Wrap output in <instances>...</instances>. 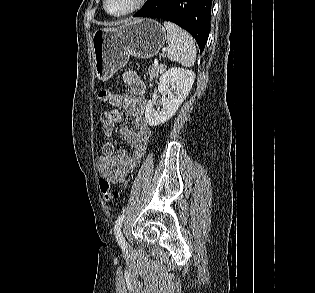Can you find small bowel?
Listing matches in <instances>:
<instances>
[{"label": "small bowel", "instance_id": "1", "mask_svg": "<svg viewBox=\"0 0 315 293\" xmlns=\"http://www.w3.org/2000/svg\"><path fill=\"white\" fill-rule=\"evenodd\" d=\"M122 81L127 86L128 93L124 95L112 93L110 95L108 101L112 108L102 112L100 122L105 136L111 137L115 125L123 119L119 108H124L133 117L134 129L122 126L120 133L132 146L133 151L128 153L123 149H117L112 142H105L101 154L96 158V165L101 173V178H105L113 184L121 183L137 165L151 137V128L144 116L146 106L144 82L133 71L125 72Z\"/></svg>", "mask_w": 315, "mask_h": 293}]
</instances>
